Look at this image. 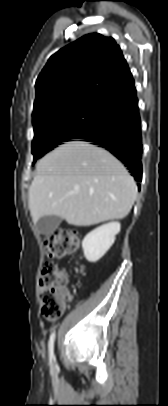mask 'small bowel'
<instances>
[{"label": "small bowel", "instance_id": "c3829d8e", "mask_svg": "<svg viewBox=\"0 0 168 406\" xmlns=\"http://www.w3.org/2000/svg\"><path fill=\"white\" fill-rule=\"evenodd\" d=\"M66 297H67L68 300H70L71 299V294L69 292H66Z\"/></svg>", "mask_w": 168, "mask_h": 406}]
</instances>
